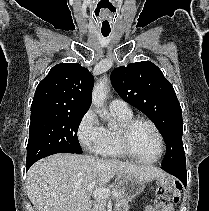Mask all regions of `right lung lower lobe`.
<instances>
[{
  "instance_id": "1",
  "label": "right lung lower lobe",
  "mask_w": 209,
  "mask_h": 211,
  "mask_svg": "<svg viewBox=\"0 0 209 211\" xmlns=\"http://www.w3.org/2000/svg\"><path fill=\"white\" fill-rule=\"evenodd\" d=\"M31 165H32V164L26 165V170H28V169L30 168Z\"/></svg>"
}]
</instances>
